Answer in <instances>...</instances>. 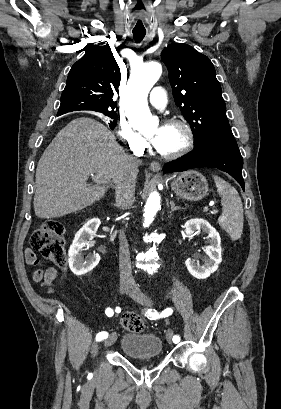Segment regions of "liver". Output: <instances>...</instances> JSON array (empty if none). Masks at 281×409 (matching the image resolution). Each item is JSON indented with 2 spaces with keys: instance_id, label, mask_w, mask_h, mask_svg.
Here are the masks:
<instances>
[{
  "instance_id": "obj_1",
  "label": "liver",
  "mask_w": 281,
  "mask_h": 409,
  "mask_svg": "<svg viewBox=\"0 0 281 409\" xmlns=\"http://www.w3.org/2000/svg\"><path fill=\"white\" fill-rule=\"evenodd\" d=\"M120 146L113 132L94 118H74L68 122L46 150L36 168L34 211L39 219H55L75 213L100 200L112 184L123 176H137V164ZM91 174L93 182L87 180Z\"/></svg>"
}]
</instances>
